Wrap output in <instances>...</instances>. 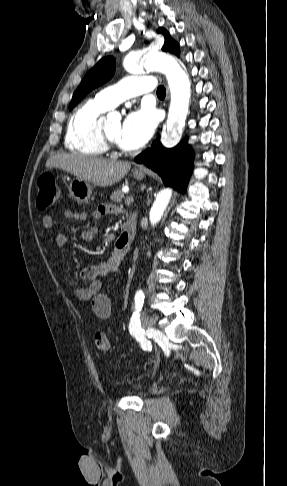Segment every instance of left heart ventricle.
<instances>
[{"label":"left heart ventricle","instance_id":"1","mask_svg":"<svg viewBox=\"0 0 287 486\" xmlns=\"http://www.w3.org/2000/svg\"><path fill=\"white\" fill-rule=\"evenodd\" d=\"M121 127L122 125L120 122H114L108 125L105 128V131L111 139H113L117 143H120Z\"/></svg>","mask_w":287,"mask_h":486}]
</instances>
